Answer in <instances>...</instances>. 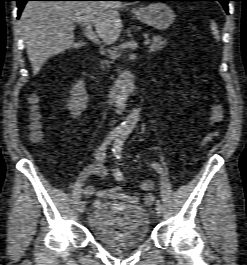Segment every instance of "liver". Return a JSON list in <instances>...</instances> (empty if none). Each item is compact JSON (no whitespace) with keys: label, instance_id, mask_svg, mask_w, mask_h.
Segmentation results:
<instances>
[{"label":"liver","instance_id":"1","mask_svg":"<svg viewBox=\"0 0 247 265\" xmlns=\"http://www.w3.org/2000/svg\"><path fill=\"white\" fill-rule=\"evenodd\" d=\"M121 6L120 2H27L20 26L33 75L38 74L50 57L85 45L84 42H74V22L93 24L105 44L115 43L122 29L118 13Z\"/></svg>","mask_w":247,"mask_h":265}]
</instances>
